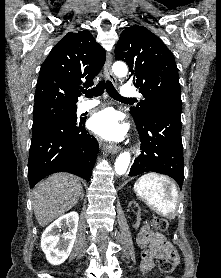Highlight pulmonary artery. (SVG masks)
<instances>
[{"instance_id": "1", "label": "pulmonary artery", "mask_w": 221, "mask_h": 278, "mask_svg": "<svg viewBox=\"0 0 221 278\" xmlns=\"http://www.w3.org/2000/svg\"><path fill=\"white\" fill-rule=\"evenodd\" d=\"M137 94H138L137 90L132 86H124L121 90L122 97L128 98V99H131V98L137 96ZM99 103H100L99 100L85 101V102L81 103L79 108L81 111H87V110H90V109L96 107Z\"/></svg>"}]
</instances>
